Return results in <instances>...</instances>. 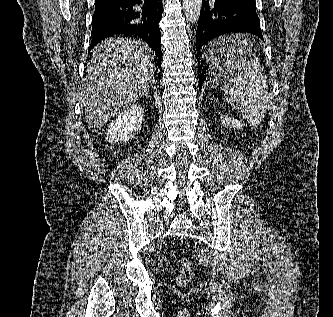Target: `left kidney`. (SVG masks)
I'll use <instances>...</instances> for the list:
<instances>
[{
  "label": "left kidney",
  "instance_id": "obj_1",
  "mask_svg": "<svg viewBox=\"0 0 333 317\" xmlns=\"http://www.w3.org/2000/svg\"><path fill=\"white\" fill-rule=\"evenodd\" d=\"M221 121L225 126H230L233 129L242 128V124L234 118H230L228 116H221Z\"/></svg>",
  "mask_w": 333,
  "mask_h": 317
}]
</instances>
